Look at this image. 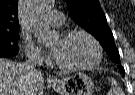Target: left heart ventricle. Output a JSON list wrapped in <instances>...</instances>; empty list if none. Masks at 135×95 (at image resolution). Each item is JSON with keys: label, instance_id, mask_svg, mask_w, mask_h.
Masks as SVG:
<instances>
[{"label": "left heart ventricle", "instance_id": "b2bd125f", "mask_svg": "<svg viewBox=\"0 0 135 95\" xmlns=\"http://www.w3.org/2000/svg\"><path fill=\"white\" fill-rule=\"evenodd\" d=\"M50 28L55 29L53 26ZM52 47L57 50L56 59L67 65L90 63L97 55L92 42L83 35L69 38L58 36L52 41Z\"/></svg>", "mask_w": 135, "mask_h": 95}]
</instances>
